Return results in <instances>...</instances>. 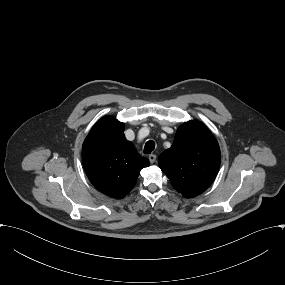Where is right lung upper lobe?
<instances>
[{"label": "right lung upper lobe", "instance_id": "right-lung-upper-lobe-1", "mask_svg": "<svg viewBox=\"0 0 285 285\" xmlns=\"http://www.w3.org/2000/svg\"><path fill=\"white\" fill-rule=\"evenodd\" d=\"M82 161L90 182L113 198H123L136 184L140 170L149 166L124 136V124L105 116L89 132L82 148Z\"/></svg>", "mask_w": 285, "mask_h": 285}]
</instances>
